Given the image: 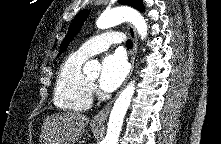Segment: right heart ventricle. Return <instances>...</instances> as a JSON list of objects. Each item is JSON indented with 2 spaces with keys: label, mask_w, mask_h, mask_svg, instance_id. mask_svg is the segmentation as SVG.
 I'll return each mask as SVG.
<instances>
[{
  "label": "right heart ventricle",
  "mask_w": 221,
  "mask_h": 144,
  "mask_svg": "<svg viewBox=\"0 0 221 144\" xmlns=\"http://www.w3.org/2000/svg\"><path fill=\"white\" fill-rule=\"evenodd\" d=\"M85 60L75 52L61 64L54 87V104L59 109L81 112L91 106L90 83L82 71Z\"/></svg>",
  "instance_id": "e07e8e85"
}]
</instances>
